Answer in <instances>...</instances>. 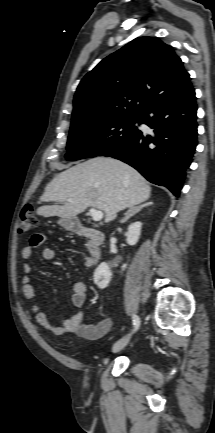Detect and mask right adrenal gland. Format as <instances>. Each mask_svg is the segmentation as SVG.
Returning <instances> with one entry per match:
<instances>
[{
    "label": "right adrenal gland",
    "mask_w": 215,
    "mask_h": 433,
    "mask_svg": "<svg viewBox=\"0 0 215 433\" xmlns=\"http://www.w3.org/2000/svg\"><path fill=\"white\" fill-rule=\"evenodd\" d=\"M152 202H147L145 204H142L140 206L137 207H131L126 213H125V217L120 221V223H125L127 222L132 216H134L136 213H138L139 211H141L144 207L150 206L152 205Z\"/></svg>",
    "instance_id": "1"
}]
</instances>
